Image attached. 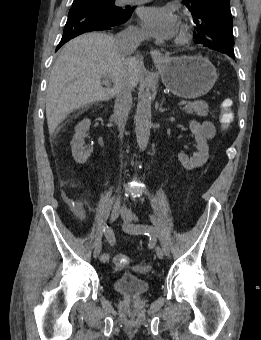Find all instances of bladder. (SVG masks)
I'll use <instances>...</instances> for the list:
<instances>
[{
    "label": "bladder",
    "instance_id": "1",
    "mask_svg": "<svg viewBox=\"0 0 261 340\" xmlns=\"http://www.w3.org/2000/svg\"><path fill=\"white\" fill-rule=\"evenodd\" d=\"M114 289L123 296L136 298L148 292L149 285L145 279L132 274L118 276L113 284Z\"/></svg>",
    "mask_w": 261,
    "mask_h": 340
}]
</instances>
